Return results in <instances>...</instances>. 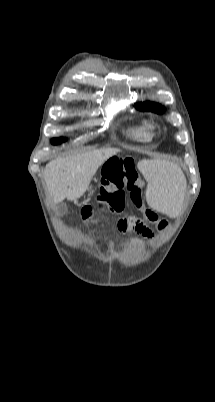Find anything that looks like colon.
<instances>
[{
  "instance_id": "1",
  "label": "colon",
  "mask_w": 215,
  "mask_h": 402,
  "mask_svg": "<svg viewBox=\"0 0 215 402\" xmlns=\"http://www.w3.org/2000/svg\"><path fill=\"white\" fill-rule=\"evenodd\" d=\"M134 161L133 156H109L108 160L104 161L101 172L104 181L97 197V207L106 208L110 212H119L124 208L125 193L127 192L133 204L142 211L145 218L155 223L160 231H164L168 224L144 205V182ZM81 217L84 221H96L91 206L82 208ZM138 221L140 220L134 217L123 218L119 220L118 227L120 230L134 229L137 227Z\"/></svg>"
}]
</instances>
